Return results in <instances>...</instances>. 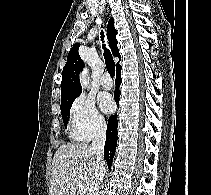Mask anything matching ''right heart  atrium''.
Wrapping results in <instances>:
<instances>
[{
    "instance_id": "right-heart-atrium-1",
    "label": "right heart atrium",
    "mask_w": 211,
    "mask_h": 195,
    "mask_svg": "<svg viewBox=\"0 0 211 195\" xmlns=\"http://www.w3.org/2000/svg\"><path fill=\"white\" fill-rule=\"evenodd\" d=\"M105 119L97 109L92 98L78 96L70 109V128L73 138L88 141L105 130Z\"/></svg>"
}]
</instances>
